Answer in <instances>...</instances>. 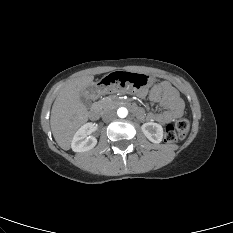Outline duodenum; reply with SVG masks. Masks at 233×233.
Instances as JSON below:
<instances>
[{"instance_id": "1", "label": "duodenum", "mask_w": 233, "mask_h": 233, "mask_svg": "<svg viewBox=\"0 0 233 233\" xmlns=\"http://www.w3.org/2000/svg\"><path fill=\"white\" fill-rule=\"evenodd\" d=\"M121 105L128 107L131 109L137 116H140L141 110L133 103L129 101H121ZM89 117L92 120H97L99 118V108L97 106H93L89 111Z\"/></svg>"}]
</instances>
